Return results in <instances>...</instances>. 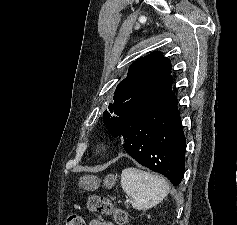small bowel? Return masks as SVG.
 <instances>
[{
	"instance_id": "1",
	"label": "small bowel",
	"mask_w": 237,
	"mask_h": 225,
	"mask_svg": "<svg viewBox=\"0 0 237 225\" xmlns=\"http://www.w3.org/2000/svg\"><path fill=\"white\" fill-rule=\"evenodd\" d=\"M88 225H114L112 222L105 221L101 218H95L90 220Z\"/></svg>"
}]
</instances>
